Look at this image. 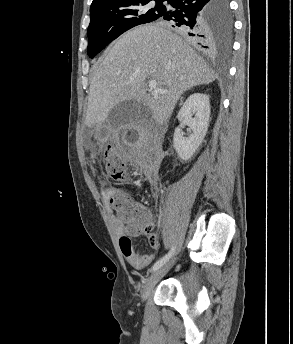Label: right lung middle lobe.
Instances as JSON below:
<instances>
[{"label": "right lung middle lobe", "mask_w": 293, "mask_h": 344, "mask_svg": "<svg viewBox=\"0 0 293 344\" xmlns=\"http://www.w3.org/2000/svg\"><path fill=\"white\" fill-rule=\"evenodd\" d=\"M151 1L155 7L150 8ZM165 0H117L90 10L88 56L93 58L111 41L140 24L161 19L166 13ZM213 21L214 45L229 46L232 20L228 0H216Z\"/></svg>", "instance_id": "right-lung-middle-lobe-1"}]
</instances>
